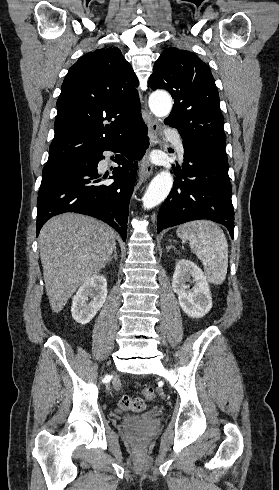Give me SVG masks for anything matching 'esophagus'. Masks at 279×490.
<instances>
[{
	"label": "esophagus",
	"mask_w": 279,
	"mask_h": 490,
	"mask_svg": "<svg viewBox=\"0 0 279 490\" xmlns=\"http://www.w3.org/2000/svg\"><path fill=\"white\" fill-rule=\"evenodd\" d=\"M148 133L150 137V151L153 147H155V145H157V136L159 133V122L157 119H151L148 126ZM152 170L153 165L149 159V153H147L142 159L141 165L139 167V175L143 179H147L152 174Z\"/></svg>",
	"instance_id": "1"
}]
</instances>
